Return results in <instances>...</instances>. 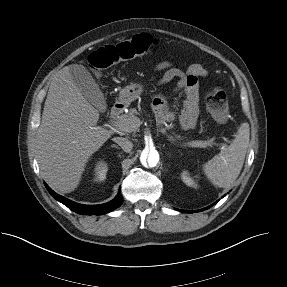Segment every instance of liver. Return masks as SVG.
Returning a JSON list of instances; mask_svg holds the SVG:
<instances>
[{
  "label": "liver",
  "instance_id": "1",
  "mask_svg": "<svg viewBox=\"0 0 287 287\" xmlns=\"http://www.w3.org/2000/svg\"><path fill=\"white\" fill-rule=\"evenodd\" d=\"M99 112L73 83L69 66L53 77L36 134L42 176L51 188L74 191L88 159L111 137L97 125Z\"/></svg>",
  "mask_w": 287,
  "mask_h": 287
}]
</instances>
